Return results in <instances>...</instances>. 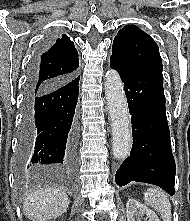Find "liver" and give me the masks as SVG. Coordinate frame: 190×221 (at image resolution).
<instances>
[{
    "label": "liver",
    "instance_id": "liver-1",
    "mask_svg": "<svg viewBox=\"0 0 190 221\" xmlns=\"http://www.w3.org/2000/svg\"><path fill=\"white\" fill-rule=\"evenodd\" d=\"M70 200L58 188L32 190L25 195L23 209L27 218L33 221H47L67 211Z\"/></svg>",
    "mask_w": 190,
    "mask_h": 221
}]
</instances>
